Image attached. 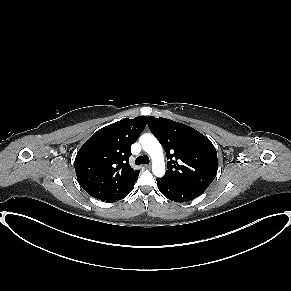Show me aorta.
Returning a JSON list of instances; mask_svg holds the SVG:
<instances>
[{
    "instance_id": "762f6f07",
    "label": "aorta",
    "mask_w": 291,
    "mask_h": 291,
    "mask_svg": "<svg viewBox=\"0 0 291 291\" xmlns=\"http://www.w3.org/2000/svg\"><path fill=\"white\" fill-rule=\"evenodd\" d=\"M143 150L147 152L153 160L152 172L157 177L165 174V163L163 160V150L159 141L151 134H143L140 137Z\"/></svg>"
}]
</instances>
